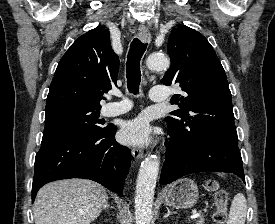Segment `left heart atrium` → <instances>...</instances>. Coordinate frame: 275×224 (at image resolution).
I'll return each mask as SVG.
<instances>
[{
    "mask_svg": "<svg viewBox=\"0 0 275 224\" xmlns=\"http://www.w3.org/2000/svg\"><path fill=\"white\" fill-rule=\"evenodd\" d=\"M150 137V128L143 117L125 123L120 131V138L127 144H144Z\"/></svg>",
    "mask_w": 275,
    "mask_h": 224,
    "instance_id": "left-heart-atrium-1",
    "label": "left heart atrium"
}]
</instances>
